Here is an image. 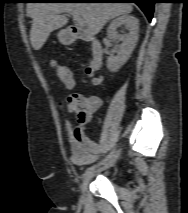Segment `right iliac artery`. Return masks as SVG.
Instances as JSON below:
<instances>
[{"instance_id": "obj_1", "label": "right iliac artery", "mask_w": 188, "mask_h": 213, "mask_svg": "<svg viewBox=\"0 0 188 213\" xmlns=\"http://www.w3.org/2000/svg\"><path fill=\"white\" fill-rule=\"evenodd\" d=\"M115 153V149L109 154L106 156V158L102 161L101 164H104L106 161H108L112 156L113 154ZM98 165H93L91 167H89L86 171H85V176L88 175L89 173H91L92 171H94V169L97 167Z\"/></svg>"}]
</instances>
